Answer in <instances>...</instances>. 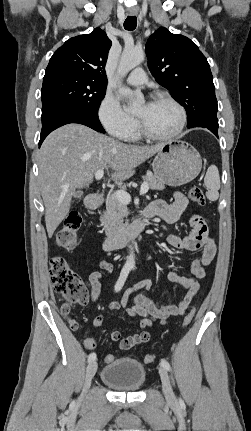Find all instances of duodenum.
Returning a JSON list of instances; mask_svg holds the SVG:
<instances>
[{"instance_id": "410a0bca", "label": "duodenum", "mask_w": 251, "mask_h": 431, "mask_svg": "<svg viewBox=\"0 0 251 431\" xmlns=\"http://www.w3.org/2000/svg\"><path fill=\"white\" fill-rule=\"evenodd\" d=\"M86 204L89 209L96 210L102 206L103 198L97 194L90 195L87 198ZM151 217V214L144 210L140 217L129 225L110 234L103 242V249L105 251H112L124 247L145 229Z\"/></svg>"}]
</instances>
